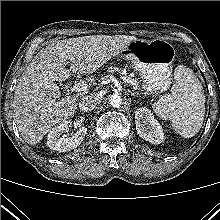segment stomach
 Masks as SVG:
<instances>
[{
	"mask_svg": "<svg viewBox=\"0 0 220 220\" xmlns=\"http://www.w3.org/2000/svg\"><path fill=\"white\" fill-rule=\"evenodd\" d=\"M122 59L131 60L142 79V88L151 95L166 91L172 83L174 47L161 39H137L121 51Z\"/></svg>",
	"mask_w": 220,
	"mask_h": 220,
	"instance_id": "0dacf381",
	"label": "stomach"
}]
</instances>
